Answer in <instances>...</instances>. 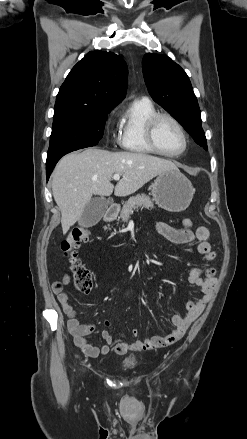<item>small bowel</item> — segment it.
<instances>
[{"mask_svg": "<svg viewBox=\"0 0 247 439\" xmlns=\"http://www.w3.org/2000/svg\"><path fill=\"white\" fill-rule=\"evenodd\" d=\"M156 230L163 238L176 245H183L192 242L194 239L198 240L197 251L203 255L206 261H214L217 258V253L211 248V235L209 230L200 226L195 232L190 229H177L164 222L156 223ZM69 276H66L62 281H56L52 284V291L56 295L60 303L63 313L67 317V329L72 336L75 345L89 357H98L106 355L110 351L117 354H125L127 351H146L173 345L179 341L185 334L191 322L203 311L208 303L212 291L216 284V269L209 267L204 271L199 267L191 269L188 280L191 284L197 286L201 292V297L188 301L186 304V312L184 315H173L171 322L174 329L165 336H153L146 340H136L127 342L123 339L114 340L107 330L101 332V337L106 344L98 347L88 343L86 336L94 332L96 325L80 324L76 312L70 304L68 295L63 291V286L69 282ZM106 326H110V321H105ZM133 337H137L139 331L133 328L131 331Z\"/></svg>", "mask_w": 247, "mask_h": 439, "instance_id": "1", "label": "small bowel"}]
</instances>
